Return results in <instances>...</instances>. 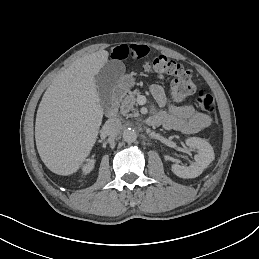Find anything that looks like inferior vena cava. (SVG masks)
<instances>
[{
  "instance_id": "1",
  "label": "inferior vena cava",
  "mask_w": 259,
  "mask_h": 259,
  "mask_svg": "<svg viewBox=\"0 0 259 259\" xmlns=\"http://www.w3.org/2000/svg\"><path fill=\"white\" fill-rule=\"evenodd\" d=\"M105 129L109 135L116 136L122 129V123L118 118L112 117L106 121Z\"/></svg>"
}]
</instances>
